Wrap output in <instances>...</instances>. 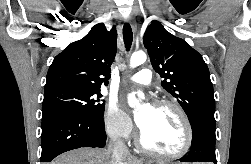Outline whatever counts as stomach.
Returning <instances> with one entry per match:
<instances>
[{"label":"stomach","mask_w":251,"mask_h":164,"mask_svg":"<svg viewBox=\"0 0 251 164\" xmlns=\"http://www.w3.org/2000/svg\"><path fill=\"white\" fill-rule=\"evenodd\" d=\"M158 164H165L164 162H159ZM176 164H181V163H176Z\"/></svg>","instance_id":"obj_1"}]
</instances>
